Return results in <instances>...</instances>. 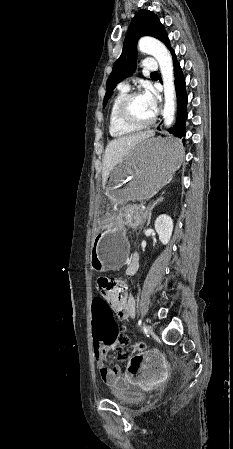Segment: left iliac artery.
Returning a JSON list of instances; mask_svg holds the SVG:
<instances>
[{"mask_svg": "<svg viewBox=\"0 0 233 449\" xmlns=\"http://www.w3.org/2000/svg\"><path fill=\"white\" fill-rule=\"evenodd\" d=\"M138 325H139V326L142 325V320H141V319L138 321Z\"/></svg>", "mask_w": 233, "mask_h": 449, "instance_id": "44dca946", "label": "left iliac artery"}]
</instances>
